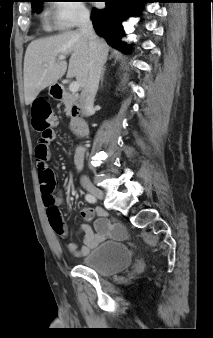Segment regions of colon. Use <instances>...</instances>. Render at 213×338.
<instances>
[{"mask_svg":"<svg viewBox=\"0 0 213 338\" xmlns=\"http://www.w3.org/2000/svg\"><path fill=\"white\" fill-rule=\"evenodd\" d=\"M33 119L32 126L38 131L42 137L50 136L53 132V124L55 117L49 103L41 98H37L32 103ZM39 167V182L41 186L42 199L45 207L50 209L49 221L53 228L62 224V215L55 208V180L54 174L47 164L40 163Z\"/></svg>","mask_w":213,"mask_h":338,"instance_id":"colon-1","label":"colon"}]
</instances>
